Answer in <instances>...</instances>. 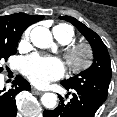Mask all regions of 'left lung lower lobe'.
<instances>
[{
    "label": "left lung lower lobe",
    "mask_w": 117,
    "mask_h": 117,
    "mask_svg": "<svg viewBox=\"0 0 117 117\" xmlns=\"http://www.w3.org/2000/svg\"><path fill=\"white\" fill-rule=\"evenodd\" d=\"M72 90L73 97L68 103L60 96L61 104L54 110H45L43 117H93L103 102L84 90Z\"/></svg>",
    "instance_id": "0a47b994"
}]
</instances>
